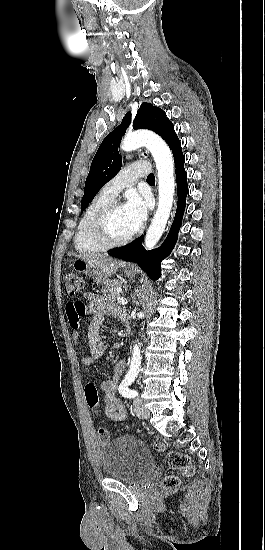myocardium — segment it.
<instances>
[{
    "label": "myocardium",
    "mask_w": 265,
    "mask_h": 550,
    "mask_svg": "<svg viewBox=\"0 0 265 550\" xmlns=\"http://www.w3.org/2000/svg\"><path fill=\"white\" fill-rule=\"evenodd\" d=\"M122 206L117 201H111L93 216L89 225L91 237L104 248L119 247L127 244L132 240L135 232L121 239H113L108 233V221L114 210Z\"/></svg>",
    "instance_id": "f54148a6"
}]
</instances>
